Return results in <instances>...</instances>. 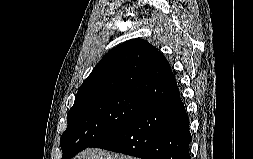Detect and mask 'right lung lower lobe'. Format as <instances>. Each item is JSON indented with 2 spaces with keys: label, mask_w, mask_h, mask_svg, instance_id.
I'll return each mask as SVG.
<instances>
[{
  "label": "right lung lower lobe",
  "mask_w": 253,
  "mask_h": 159,
  "mask_svg": "<svg viewBox=\"0 0 253 159\" xmlns=\"http://www.w3.org/2000/svg\"><path fill=\"white\" fill-rule=\"evenodd\" d=\"M191 140L189 118L177 92L92 147L142 159H191Z\"/></svg>",
  "instance_id": "98d812e1"
}]
</instances>
